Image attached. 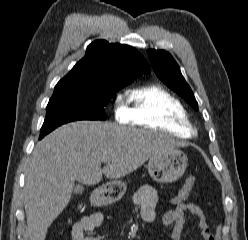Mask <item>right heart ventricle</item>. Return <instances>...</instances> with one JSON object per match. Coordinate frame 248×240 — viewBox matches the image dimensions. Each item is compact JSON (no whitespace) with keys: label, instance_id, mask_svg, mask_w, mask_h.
Masks as SVG:
<instances>
[{"label":"right heart ventricle","instance_id":"1","mask_svg":"<svg viewBox=\"0 0 248 240\" xmlns=\"http://www.w3.org/2000/svg\"><path fill=\"white\" fill-rule=\"evenodd\" d=\"M128 119L142 128L189 139L194 128L181 100L162 86L150 84L132 89L128 94Z\"/></svg>","mask_w":248,"mask_h":240}]
</instances>
